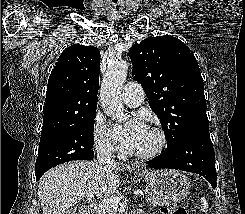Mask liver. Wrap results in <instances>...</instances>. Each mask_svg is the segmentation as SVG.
<instances>
[{
    "label": "liver",
    "instance_id": "obj_1",
    "mask_svg": "<svg viewBox=\"0 0 245 214\" xmlns=\"http://www.w3.org/2000/svg\"><path fill=\"white\" fill-rule=\"evenodd\" d=\"M118 165L103 167L95 161L69 162L47 171L38 184L43 214H65L86 195L110 196L120 185Z\"/></svg>",
    "mask_w": 245,
    "mask_h": 214
}]
</instances>
